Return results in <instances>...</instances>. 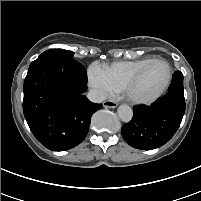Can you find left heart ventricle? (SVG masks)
<instances>
[{
	"label": "left heart ventricle",
	"instance_id": "b2bd125f",
	"mask_svg": "<svg viewBox=\"0 0 201 201\" xmlns=\"http://www.w3.org/2000/svg\"><path fill=\"white\" fill-rule=\"evenodd\" d=\"M168 67L163 62L151 64L133 87V94L138 97H149L156 93L166 82Z\"/></svg>",
	"mask_w": 201,
	"mask_h": 201
}]
</instances>
